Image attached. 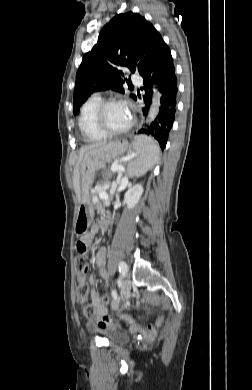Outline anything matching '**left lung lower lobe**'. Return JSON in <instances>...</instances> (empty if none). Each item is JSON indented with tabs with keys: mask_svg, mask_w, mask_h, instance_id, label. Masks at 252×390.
Masks as SVG:
<instances>
[{
	"mask_svg": "<svg viewBox=\"0 0 252 390\" xmlns=\"http://www.w3.org/2000/svg\"><path fill=\"white\" fill-rule=\"evenodd\" d=\"M141 76L144 79L143 90H145L143 99L146 106L142 108L144 113H148L149 105L151 104L153 85H158L162 96L160 100L161 106L155 121L147 129H141L139 132L155 138L163 150L174 122L178 91L173 58L170 49L164 41L160 43Z\"/></svg>",
	"mask_w": 252,
	"mask_h": 390,
	"instance_id": "0a47b994",
	"label": "left lung lower lobe"
}]
</instances>
